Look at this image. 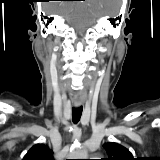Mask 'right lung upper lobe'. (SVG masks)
Masks as SVG:
<instances>
[{
	"label": "right lung upper lobe",
	"mask_w": 160,
	"mask_h": 160,
	"mask_svg": "<svg viewBox=\"0 0 160 160\" xmlns=\"http://www.w3.org/2000/svg\"><path fill=\"white\" fill-rule=\"evenodd\" d=\"M22 160H54V158L53 152L45 144H36Z\"/></svg>",
	"instance_id": "right-lung-upper-lobe-1"
}]
</instances>
